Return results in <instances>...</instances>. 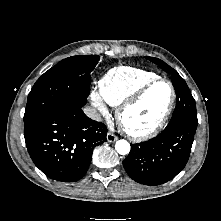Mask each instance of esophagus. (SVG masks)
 I'll use <instances>...</instances> for the list:
<instances>
[{"label": "esophagus", "mask_w": 221, "mask_h": 221, "mask_svg": "<svg viewBox=\"0 0 221 221\" xmlns=\"http://www.w3.org/2000/svg\"><path fill=\"white\" fill-rule=\"evenodd\" d=\"M106 138H107V141L110 143L115 142L117 140V136L111 132L107 133Z\"/></svg>", "instance_id": "1"}]
</instances>
